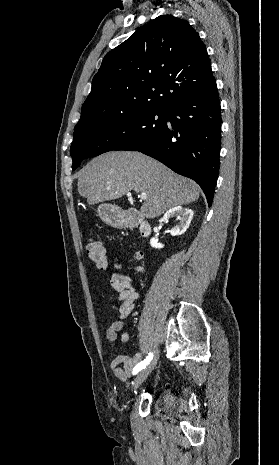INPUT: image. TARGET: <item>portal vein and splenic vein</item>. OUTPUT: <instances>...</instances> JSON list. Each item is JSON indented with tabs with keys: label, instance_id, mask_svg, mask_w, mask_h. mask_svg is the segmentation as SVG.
<instances>
[{
	"label": "portal vein and splenic vein",
	"instance_id": "18ae733b",
	"mask_svg": "<svg viewBox=\"0 0 279 465\" xmlns=\"http://www.w3.org/2000/svg\"><path fill=\"white\" fill-rule=\"evenodd\" d=\"M128 196H131V194H128ZM140 198H141L142 200H146V199H147V194L144 193V192H142V193L140 194Z\"/></svg>",
	"mask_w": 279,
	"mask_h": 465
}]
</instances>
